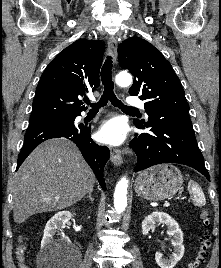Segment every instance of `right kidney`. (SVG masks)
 <instances>
[{"mask_svg":"<svg viewBox=\"0 0 221 268\" xmlns=\"http://www.w3.org/2000/svg\"><path fill=\"white\" fill-rule=\"evenodd\" d=\"M72 217L73 215L69 211H61L56 213L51 219H49L44 229L41 247L47 249L51 248L55 242L53 236L55 235L56 231H61L63 228H65L66 224ZM60 241L64 244L70 243V239L64 235L61 236Z\"/></svg>","mask_w":221,"mask_h":268,"instance_id":"obj_1","label":"right kidney"}]
</instances>
